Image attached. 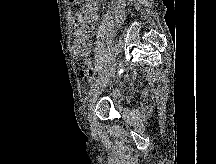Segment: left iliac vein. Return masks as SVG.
<instances>
[{
  "mask_svg": "<svg viewBox=\"0 0 216 164\" xmlns=\"http://www.w3.org/2000/svg\"><path fill=\"white\" fill-rule=\"evenodd\" d=\"M115 73V65L110 69V71L100 80L99 84L95 88V90L92 92L90 97V103L87 110V120L89 121L91 126H94V109L96 106V102L99 98V95L103 91V89L106 87L108 82L110 81V78Z\"/></svg>",
  "mask_w": 216,
  "mask_h": 164,
  "instance_id": "1",
  "label": "left iliac vein"
}]
</instances>
